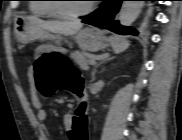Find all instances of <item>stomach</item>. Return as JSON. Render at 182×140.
<instances>
[{
  "mask_svg": "<svg viewBox=\"0 0 182 140\" xmlns=\"http://www.w3.org/2000/svg\"><path fill=\"white\" fill-rule=\"evenodd\" d=\"M14 34L19 43L26 44L43 37L45 33L29 19L17 17L14 21ZM51 38L55 39L57 43H59L61 39L59 36H52ZM73 38L81 49L91 52L104 49L109 45L110 41L93 27H87L78 31ZM51 50L65 53V50L60 47H51Z\"/></svg>",
  "mask_w": 182,
  "mask_h": 140,
  "instance_id": "0dacf381",
  "label": "stomach"
}]
</instances>
